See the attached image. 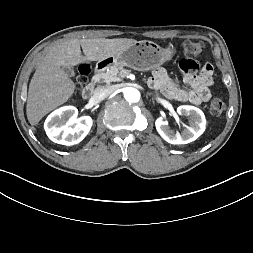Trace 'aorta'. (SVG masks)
Listing matches in <instances>:
<instances>
[{
  "mask_svg": "<svg viewBox=\"0 0 253 253\" xmlns=\"http://www.w3.org/2000/svg\"><path fill=\"white\" fill-rule=\"evenodd\" d=\"M124 98L131 103L138 102L140 99V92L132 87L125 88Z\"/></svg>",
  "mask_w": 253,
  "mask_h": 253,
  "instance_id": "obj_1",
  "label": "aorta"
}]
</instances>
